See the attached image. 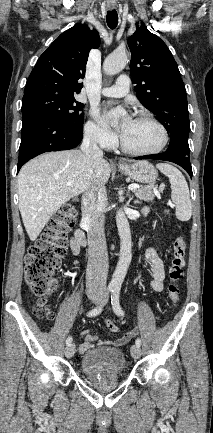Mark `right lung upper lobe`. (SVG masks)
I'll return each instance as SVG.
<instances>
[{
	"label": "right lung upper lobe",
	"instance_id": "cb5924a9",
	"mask_svg": "<svg viewBox=\"0 0 213 433\" xmlns=\"http://www.w3.org/2000/svg\"><path fill=\"white\" fill-rule=\"evenodd\" d=\"M100 37L87 25L76 24L63 32L39 57L28 77L24 96L36 93L75 95L80 93L91 48H98Z\"/></svg>",
	"mask_w": 213,
	"mask_h": 433
}]
</instances>
